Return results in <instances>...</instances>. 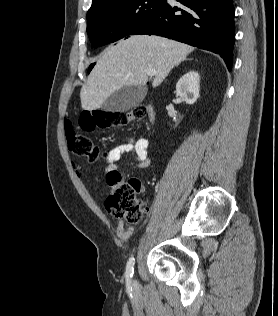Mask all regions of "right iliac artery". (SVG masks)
Wrapping results in <instances>:
<instances>
[{"label":"right iliac artery","mask_w":278,"mask_h":316,"mask_svg":"<svg viewBox=\"0 0 278 316\" xmlns=\"http://www.w3.org/2000/svg\"><path fill=\"white\" fill-rule=\"evenodd\" d=\"M133 265H134V257H131L127 263V266H126V277H127V280H131L133 274H134V268H133Z\"/></svg>","instance_id":"obj_1"}]
</instances>
